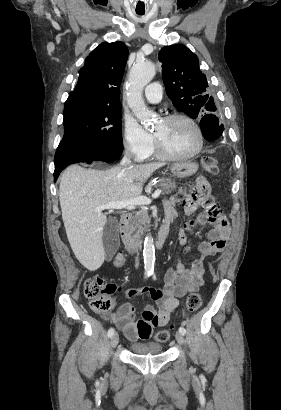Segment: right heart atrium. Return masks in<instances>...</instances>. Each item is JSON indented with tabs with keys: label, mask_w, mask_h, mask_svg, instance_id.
Returning a JSON list of instances; mask_svg holds the SVG:
<instances>
[{
	"label": "right heart atrium",
	"mask_w": 281,
	"mask_h": 410,
	"mask_svg": "<svg viewBox=\"0 0 281 410\" xmlns=\"http://www.w3.org/2000/svg\"><path fill=\"white\" fill-rule=\"evenodd\" d=\"M123 145L135 159H145L152 147L153 138L136 121L126 119L123 125Z\"/></svg>",
	"instance_id": "d8ad5b80"
}]
</instances>
